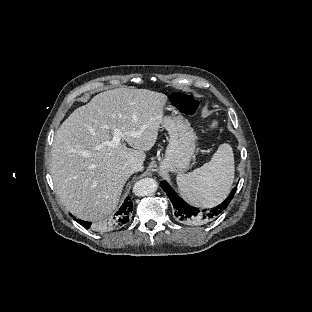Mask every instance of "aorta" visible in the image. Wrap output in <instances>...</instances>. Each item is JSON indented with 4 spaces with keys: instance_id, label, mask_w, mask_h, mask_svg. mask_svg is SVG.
I'll list each match as a JSON object with an SVG mask.
<instances>
[{
    "instance_id": "aorta-1",
    "label": "aorta",
    "mask_w": 312,
    "mask_h": 312,
    "mask_svg": "<svg viewBox=\"0 0 312 312\" xmlns=\"http://www.w3.org/2000/svg\"><path fill=\"white\" fill-rule=\"evenodd\" d=\"M157 189V183L150 178H144L135 182L132 186V193L136 197H144L154 193Z\"/></svg>"
}]
</instances>
